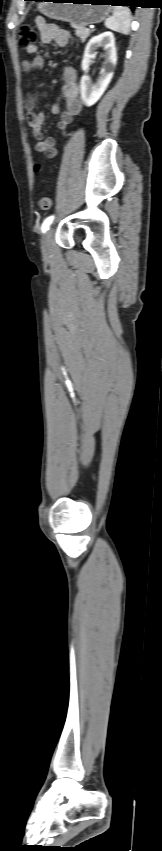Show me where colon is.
<instances>
[{
	"label": "colon",
	"mask_w": 162,
	"mask_h": 851,
	"mask_svg": "<svg viewBox=\"0 0 162 851\" xmlns=\"http://www.w3.org/2000/svg\"><path fill=\"white\" fill-rule=\"evenodd\" d=\"M37 39H38V35H37L36 30L33 27H31L29 25H25V26L21 27L20 32H19V46L21 48L27 49V48L35 45ZM39 170H40V165L37 164L35 166V171H39ZM38 204H39V207L41 209L48 210L51 207V200L48 197L43 196L39 199Z\"/></svg>",
	"instance_id": "1"
}]
</instances>
